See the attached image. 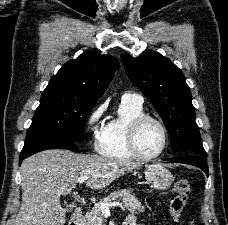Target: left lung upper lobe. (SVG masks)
Instances as JSON below:
<instances>
[{"instance_id": "5c2ea615", "label": "left lung upper lobe", "mask_w": 228, "mask_h": 225, "mask_svg": "<svg viewBox=\"0 0 228 225\" xmlns=\"http://www.w3.org/2000/svg\"><path fill=\"white\" fill-rule=\"evenodd\" d=\"M121 58L129 79L162 117L169 130L172 150L183 152L187 158H205L190 88L182 71L155 51H146L136 58L122 54Z\"/></svg>"}]
</instances>
